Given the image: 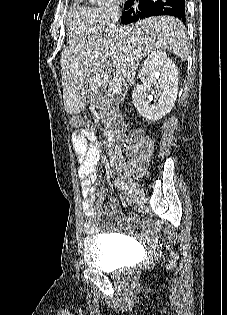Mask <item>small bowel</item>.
<instances>
[{
	"instance_id": "1",
	"label": "small bowel",
	"mask_w": 227,
	"mask_h": 315,
	"mask_svg": "<svg viewBox=\"0 0 227 315\" xmlns=\"http://www.w3.org/2000/svg\"><path fill=\"white\" fill-rule=\"evenodd\" d=\"M71 144L78 163V176L80 179L81 193L83 196L82 212L84 216V232L88 235L98 233L96 224L97 214L101 212L100 207L96 208L95 201L97 194L94 187L96 179L95 171L98 163L102 159V149L94 134H83L75 132L71 136ZM102 199V195H99ZM117 213V202L110 200L109 208L105 210V214L109 218H113ZM130 219L139 224L144 222L135 214H130ZM153 235L152 230H147L144 237L149 239Z\"/></svg>"
}]
</instances>
